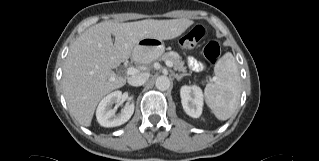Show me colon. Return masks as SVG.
<instances>
[{"instance_id":"5ec220e1","label":"colon","mask_w":319,"mask_h":161,"mask_svg":"<svg viewBox=\"0 0 319 161\" xmlns=\"http://www.w3.org/2000/svg\"><path fill=\"white\" fill-rule=\"evenodd\" d=\"M205 30L202 26L197 25L192 27L187 33L180 38V46L183 49H192L204 37ZM221 48L216 40L207 42L203 49L204 58L211 64H215L220 59Z\"/></svg>"}]
</instances>
